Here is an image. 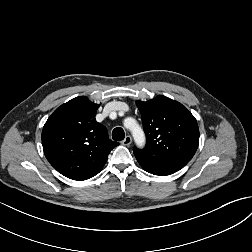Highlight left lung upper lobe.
<instances>
[{
    "label": "left lung upper lobe",
    "instance_id": "5c2ea615",
    "mask_svg": "<svg viewBox=\"0 0 252 252\" xmlns=\"http://www.w3.org/2000/svg\"><path fill=\"white\" fill-rule=\"evenodd\" d=\"M142 115L146 146L134 148L136 158L179 157L191 160L199 143L195 117L179 102L163 95L136 101Z\"/></svg>",
    "mask_w": 252,
    "mask_h": 252
}]
</instances>
